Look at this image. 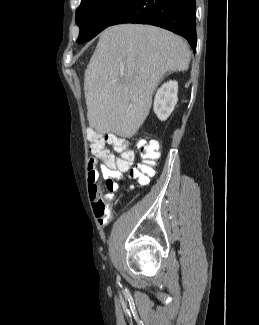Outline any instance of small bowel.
<instances>
[{
    "instance_id": "1",
    "label": "small bowel",
    "mask_w": 259,
    "mask_h": 325,
    "mask_svg": "<svg viewBox=\"0 0 259 325\" xmlns=\"http://www.w3.org/2000/svg\"><path fill=\"white\" fill-rule=\"evenodd\" d=\"M102 159L103 163L99 165V169L96 159L91 158L88 162V190L90 199L92 201L94 214L99 220L100 224L105 225L111 218V209L106 202H111L114 196L111 193L106 194L104 197L102 196L97 185L100 173L106 180H120L122 178V172L126 171L127 168L121 170L119 167L120 157H117L109 152L102 156Z\"/></svg>"
}]
</instances>
